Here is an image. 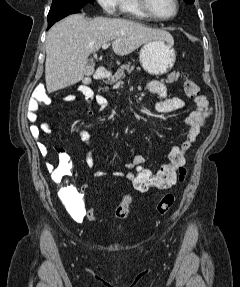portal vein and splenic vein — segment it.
I'll return each mask as SVG.
<instances>
[{
  "instance_id": "18ae733b",
  "label": "portal vein and splenic vein",
  "mask_w": 240,
  "mask_h": 287,
  "mask_svg": "<svg viewBox=\"0 0 240 287\" xmlns=\"http://www.w3.org/2000/svg\"><path fill=\"white\" fill-rule=\"evenodd\" d=\"M109 46H110V44H107V43H106V44H103V45H102V49H107Z\"/></svg>"
}]
</instances>
